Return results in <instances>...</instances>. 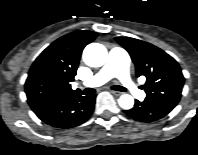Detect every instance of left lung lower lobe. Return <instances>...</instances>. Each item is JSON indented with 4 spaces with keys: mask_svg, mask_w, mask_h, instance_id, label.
Wrapping results in <instances>:
<instances>
[{
    "mask_svg": "<svg viewBox=\"0 0 198 155\" xmlns=\"http://www.w3.org/2000/svg\"><path fill=\"white\" fill-rule=\"evenodd\" d=\"M176 105L175 102L163 100H135L134 107L124 112L137 121L153 122L170 113Z\"/></svg>",
    "mask_w": 198,
    "mask_h": 155,
    "instance_id": "left-lung-lower-lobe-1",
    "label": "left lung lower lobe"
}]
</instances>
